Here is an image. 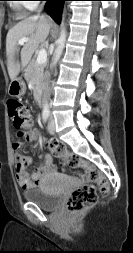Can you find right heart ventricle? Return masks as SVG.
Segmentation results:
<instances>
[{
    "instance_id": "obj_1",
    "label": "right heart ventricle",
    "mask_w": 133,
    "mask_h": 253,
    "mask_svg": "<svg viewBox=\"0 0 133 253\" xmlns=\"http://www.w3.org/2000/svg\"><path fill=\"white\" fill-rule=\"evenodd\" d=\"M12 8L17 12V14L22 17L25 14L26 6L20 1H15L12 3Z\"/></svg>"
}]
</instances>
